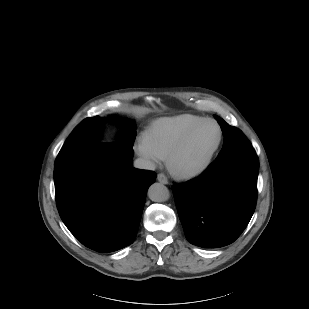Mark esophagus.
<instances>
[{
	"instance_id": "34e87169",
	"label": "esophagus",
	"mask_w": 309,
	"mask_h": 309,
	"mask_svg": "<svg viewBox=\"0 0 309 309\" xmlns=\"http://www.w3.org/2000/svg\"><path fill=\"white\" fill-rule=\"evenodd\" d=\"M157 180H158L160 183H162V184H168V179H167V177H166L164 174H162V173H160V174L157 175Z\"/></svg>"
}]
</instances>
